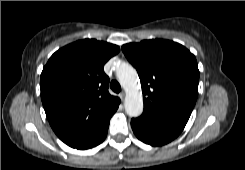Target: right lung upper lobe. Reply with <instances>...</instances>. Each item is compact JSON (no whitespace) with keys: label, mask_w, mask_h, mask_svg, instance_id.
<instances>
[{"label":"right lung upper lobe","mask_w":245,"mask_h":170,"mask_svg":"<svg viewBox=\"0 0 245 170\" xmlns=\"http://www.w3.org/2000/svg\"><path fill=\"white\" fill-rule=\"evenodd\" d=\"M119 47L94 39L56 51L41 73V99L56 135L76 148L90 140L117 110L120 99L108 92L104 64Z\"/></svg>","instance_id":"cb5924a9"}]
</instances>
